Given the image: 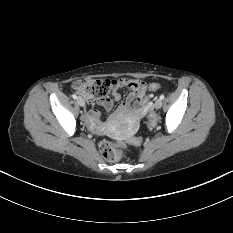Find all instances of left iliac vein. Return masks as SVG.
Segmentation results:
<instances>
[{
  "instance_id": "4c4485c4",
  "label": "left iliac vein",
  "mask_w": 233,
  "mask_h": 233,
  "mask_svg": "<svg viewBox=\"0 0 233 233\" xmlns=\"http://www.w3.org/2000/svg\"><path fill=\"white\" fill-rule=\"evenodd\" d=\"M162 106V100L159 98L155 101V108L160 109Z\"/></svg>"
}]
</instances>
